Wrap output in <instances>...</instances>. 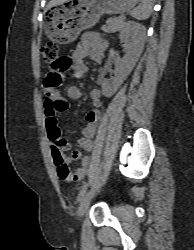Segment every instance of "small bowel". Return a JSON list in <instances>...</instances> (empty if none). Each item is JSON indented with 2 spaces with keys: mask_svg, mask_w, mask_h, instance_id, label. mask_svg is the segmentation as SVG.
<instances>
[{
  "mask_svg": "<svg viewBox=\"0 0 194 250\" xmlns=\"http://www.w3.org/2000/svg\"><path fill=\"white\" fill-rule=\"evenodd\" d=\"M107 48L106 40L96 32H85L81 36L73 54L63 57L66 60L62 70L59 72H71L75 77L82 78L87 72V66L84 60L90 58L96 63H102L105 57V50ZM108 68L105 67L100 74L101 89H93L90 92V109L85 115L86 124L82 128V137L78 140V149L74 150L70 155L63 156L65 164L68 166L73 161L81 160V165L71 173L70 179L67 181H80L85 178L88 166L90 164V157L88 154L93 149L92 138L95 135L97 123L100 117V108L102 106L101 95L103 92H109L112 89V82L107 80L105 74ZM53 72L50 67L48 74ZM47 74V76H48ZM47 76L44 80V87L47 91L48 97L52 98L56 104L64 103L65 106H57L52 111L45 112V123L48 131L49 139L54 136H60V128L58 125V116L67 109V100H79L82 97V91L77 86H69L66 90V98H63L56 90L49 87L47 83ZM54 158V153L52 151Z\"/></svg>",
  "mask_w": 194,
  "mask_h": 250,
  "instance_id": "small-bowel-1",
  "label": "small bowel"
}]
</instances>
